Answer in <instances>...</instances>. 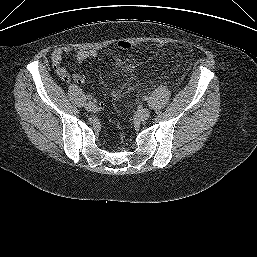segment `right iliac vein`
Returning a JSON list of instances; mask_svg holds the SVG:
<instances>
[{
  "instance_id": "63e3f726",
  "label": "right iliac vein",
  "mask_w": 257,
  "mask_h": 257,
  "mask_svg": "<svg viewBox=\"0 0 257 257\" xmlns=\"http://www.w3.org/2000/svg\"><path fill=\"white\" fill-rule=\"evenodd\" d=\"M85 109H86L87 111H89V112H93V111L96 110V106H95V104H94L93 102H87V103L85 104Z\"/></svg>"
}]
</instances>
